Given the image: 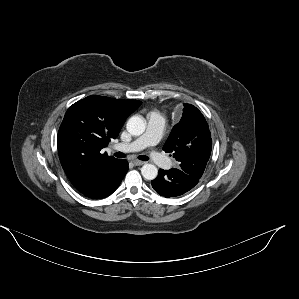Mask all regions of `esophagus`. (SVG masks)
Listing matches in <instances>:
<instances>
[{
  "mask_svg": "<svg viewBox=\"0 0 299 299\" xmlns=\"http://www.w3.org/2000/svg\"><path fill=\"white\" fill-rule=\"evenodd\" d=\"M133 162V164L135 165V166H141V165H143L144 164V162L143 161H140V160H133L132 161Z\"/></svg>",
  "mask_w": 299,
  "mask_h": 299,
  "instance_id": "esophagus-1",
  "label": "esophagus"
}]
</instances>
